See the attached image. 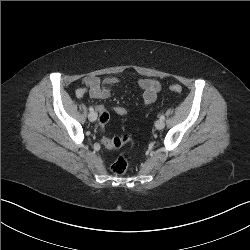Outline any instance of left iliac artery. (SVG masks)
Here are the masks:
<instances>
[{
	"label": "left iliac artery",
	"instance_id": "44dca946",
	"mask_svg": "<svg viewBox=\"0 0 250 250\" xmlns=\"http://www.w3.org/2000/svg\"><path fill=\"white\" fill-rule=\"evenodd\" d=\"M165 119V116L164 115H161L160 116V120H164Z\"/></svg>",
	"mask_w": 250,
	"mask_h": 250
}]
</instances>
